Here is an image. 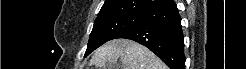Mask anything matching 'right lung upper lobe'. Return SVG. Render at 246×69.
Listing matches in <instances>:
<instances>
[{"instance_id":"obj_1","label":"right lung upper lobe","mask_w":246,"mask_h":69,"mask_svg":"<svg viewBox=\"0 0 246 69\" xmlns=\"http://www.w3.org/2000/svg\"><path fill=\"white\" fill-rule=\"evenodd\" d=\"M168 1L170 0H106L96 20L124 14L142 15L145 11Z\"/></svg>"}]
</instances>
